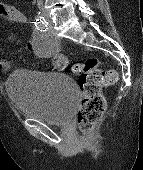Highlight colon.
I'll list each match as a JSON object with an SVG mask.
<instances>
[{"instance_id":"5ec220e1","label":"colon","mask_w":143,"mask_h":170,"mask_svg":"<svg viewBox=\"0 0 143 170\" xmlns=\"http://www.w3.org/2000/svg\"><path fill=\"white\" fill-rule=\"evenodd\" d=\"M56 59L59 69H65L66 61L60 56ZM70 73L78 76L79 87L83 94L78 111V125L81 132L87 133L100 122L105 111L106 103L101 88L115 84L118 75L114 69H103L97 58L72 65Z\"/></svg>"}]
</instances>
